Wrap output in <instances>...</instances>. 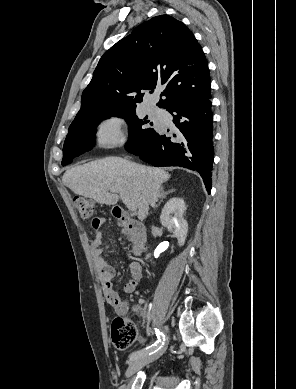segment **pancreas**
Returning <instances> with one entry per match:
<instances>
[{"label":"pancreas","instance_id":"cf45deb5","mask_svg":"<svg viewBox=\"0 0 296 389\" xmlns=\"http://www.w3.org/2000/svg\"><path fill=\"white\" fill-rule=\"evenodd\" d=\"M122 233H126V230H123Z\"/></svg>","mask_w":296,"mask_h":389}]
</instances>
